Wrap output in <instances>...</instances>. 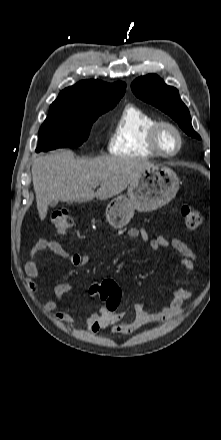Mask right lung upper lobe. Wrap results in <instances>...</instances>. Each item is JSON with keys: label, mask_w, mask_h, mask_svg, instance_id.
<instances>
[{"label": "right lung upper lobe", "mask_w": 221, "mask_h": 440, "mask_svg": "<svg viewBox=\"0 0 221 440\" xmlns=\"http://www.w3.org/2000/svg\"><path fill=\"white\" fill-rule=\"evenodd\" d=\"M125 90L124 82L108 84L99 80H84L64 89L52 105L74 108L114 107Z\"/></svg>", "instance_id": "cb5924a9"}]
</instances>
